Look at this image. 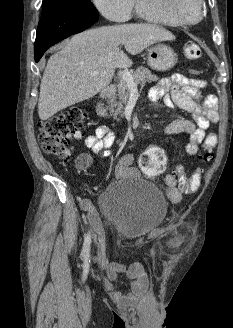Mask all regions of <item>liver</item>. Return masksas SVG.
<instances>
[{
	"label": "liver",
	"instance_id": "obj_1",
	"mask_svg": "<svg viewBox=\"0 0 233 328\" xmlns=\"http://www.w3.org/2000/svg\"><path fill=\"white\" fill-rule=\"evenodd\" d=\"M168 30L151 24H120L74 35L47 62L40 85L38 114L47 120L57 112L99 93L115 69L128 68L130 58L158 41L174 40Z\"/></svg>",
	"mask_w": 233,
	"mask_h": 328
}]
</instances>
